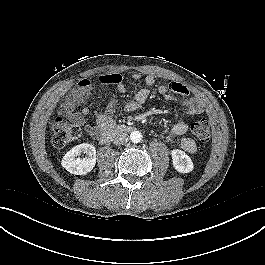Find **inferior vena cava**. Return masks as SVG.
Segmentation results:
<instances>
[{"label":"inferior vena cava","mask_w":265,"mask_h":265,"mask_svg":"<svg viewBox=\"0 0 265 265\" xmlns=\"http://www.w3.org/2000/svg\"><path fill=\"white\" fill-rule=\"evenodd\" d=\"M129 141V136L127 133H118L114 139L115 145H123L126 144Z\"/></svg>","instance_id":"602c4592"}]
</instances>
